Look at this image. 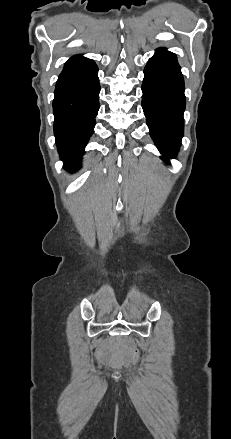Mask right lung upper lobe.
I'll list each match as a JSON object with an SVG mask.
<instances>
[{
	"instance_id": "right-lung-upper-lobe-1",
	"label": "right lung upper lobe",
	"mask_w": 231,
	"mask_h": 439,
	"mask_svg": "<svg viewBox=\"0 0 231 439\" xmlns=\"http://www.w3.org/2000/svg\"><path fill=\"white\" fill-rule=\"evenodd\" d=\"M83 58H84V57H82L81 55L73 56L72 58H70V59L65 63V67H66V66H69V65H72V64H74V63L80 61V60L83 59Z\"/></svg>"
}]
</instances>
